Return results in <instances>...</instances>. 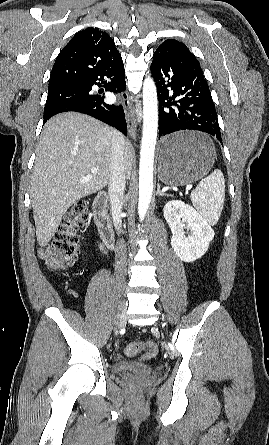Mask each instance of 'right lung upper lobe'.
Returning <instances> with one entry per match:
<instances>
[{
  "label": "right lung upper lobe",
  "instance_id": "right-lung-upper-lobe-1",
  "mask_svg": "<svg viewBox=\"0 0 269 445\" xmlns=\"http://www.w3.org/2000/svg\"><path fill=\"white\" fill-rule=\"evenodd\" d=\"M121 59L114 40L99 28L78 32L60 51L49 88L82 84L89 76Z\"/></svg>",
  "mask_w": 269,
  "mask_h": 445
}]
</instances>
